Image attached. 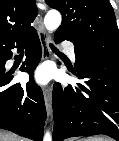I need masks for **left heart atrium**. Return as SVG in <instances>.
Segmentation results:
<instances>
[{"label": "left heart atrium", "instance_id": "39dd6f15", "mask_svg": "<svg viewBox=\"0 0 119 141\" xmlns=\"http://www.w3.org/2000/svg\"><path fill=\"white\" fill-rule=\"evenodd\" d=\"M50 77V70L47 67L39 68L34 76L35 80L42 85L46 84L50 80Z\"/></svg>", "mask_w": 119, "mask_h": 141}]
</instances>
